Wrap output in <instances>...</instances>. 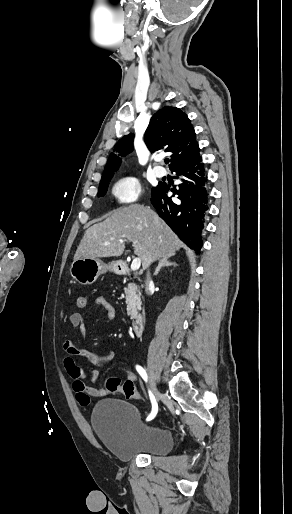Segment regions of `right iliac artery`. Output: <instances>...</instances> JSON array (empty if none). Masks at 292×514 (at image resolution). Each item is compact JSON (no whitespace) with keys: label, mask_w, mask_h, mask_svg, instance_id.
Listing matches in <instances>:
<instances>
[{"label":"right iliac artery","mask_w":292,"mask_h":514,"mask_svg":"<svg viewBox=\"0 0 292 514\" xmlns=\"http://www.w3.org/2000/svg\"><path fill=\"white\" fill-rule=\"evenodd\" d=\"M136 370L138 371L140 376L143 378V380L145 382H147L146 371L141 366H139V365H136ZM149 397H150V400H151V403H152V411L149 414V416L147 417V419H146L147 421L152 420L156 416L157 411H158V405H157L156 399H155L154 395L152 394V392L150 390H149Z\"/></svg>","instance_id":"obj_1"}]
</instances>
